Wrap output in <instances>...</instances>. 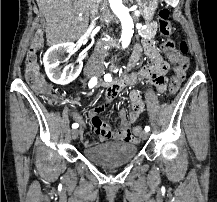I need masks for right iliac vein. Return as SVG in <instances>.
<instances>
[{
    "label": "right iliac vein",
    "instance_id": "63e3f726",
    "mask_svg": "<svg viewBox=\"0 0 217 202\" xmlns=\"http://www.w3.org/2000/svg\"><path fill=\"white\" fill-rule=\"evenodd\" d=\"M92 76H93V73H90V74H89V77H92ZM78 134H79V131H78V130H72V131H71V135H72V138H73V139H76L77 136H78Z\"/></svg>",
    "mask_w": 217,
    "mask_h": 202
}]
</instances>
